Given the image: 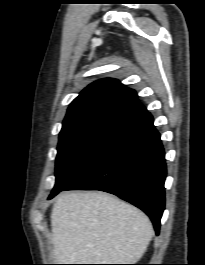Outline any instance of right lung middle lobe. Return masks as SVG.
Returning <instances> with one entry per match:
<instances>
[{
    "mask_svg": "<svg viewBox=\"0 0 205 265\" xmlns=\"http://www.w3.org/2000/svg\"><path fill=\"white\" fill-rule=\"evenodd\" d=\"M117 124H97L60 134L56 157V183L51 194L65 188L124 129Z\"/></svg>",
    "mask_w": 205,
    "mask_h": 265,
    "instance_id": "1",
    "label": "right lung middle lobe"
}]
</instances>
